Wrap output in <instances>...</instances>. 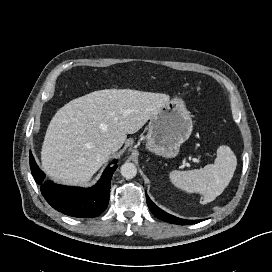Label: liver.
Instances as JSON below:
<instances>
[{
	"instance_id": "liver-1",
	"label": "liver",
	"mask_w": 272,
	"mask_h": 272,
	"mask_svg": "<svg viewBox=\"0 0 272 272\" xmlns=\"http://www.w3.org/2000/svg\"><path fill=\"white\" fill-rule=\"evenodd\" d=\"M166 94L131 89H105L76 98L60 108L47 128L41 151L42 168L66 185L88 181L127 135L140 130L151 116L169 102Z\"/></svg>"
}]
</instances>
